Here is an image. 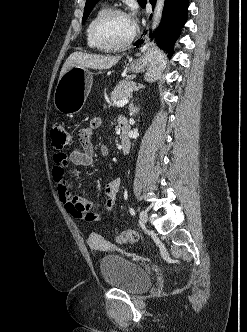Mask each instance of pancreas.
I'll return each mask as SVG.
<instances>
[{
    "label": "pancreas",
    "instance_id": "cf45deb5",
    "mask_svg": "<svg viewBox=\"0 0 247 332\" xmlns=\"http://www.w3.org/2000/svg\"><path fill=\"white\" fill-rule=\"evenodd\" d=\"M140 88L135 82L132 81H121L114 88L110 97V104H114L118 100L127 99L131 97L132 92Z\"/></svg>",
    "mask_w": 247,
    "mask_h": 332
}]
</instances>
